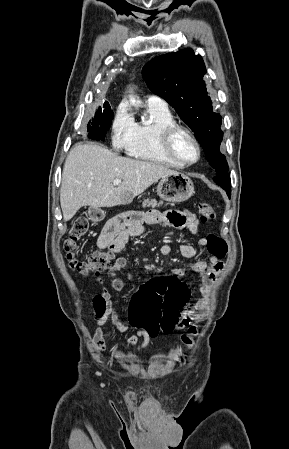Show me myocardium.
I'll list each match as a JSON object with an SVG mask.
<instances>
[{"label":"myocardium","instance_id":"myocardium-1","mask_svg":"<svg viewBox=\"0 0 289 449\" xmlns=\"http://www.w3.org/2000/svg\"><path fill=\"white\" fill-rule=\"evenodd\" d=\"M181 134L188 137L197 149V157L192 162H186V161L182 160L181 158L178 157V155L175 152V148H174L175 139L177 138V136H179ZM161 144H162V148H163L165 154L172 161L176 162L177 164H179L183 167L192 166V165L196 164L201 159L202 148H201V145H200L198 139L195 137V135L189 129H187L183 126L173 125V126L166 127L161 133Z\"/></svg>","mask_w":289,"mask_h":449}]
</instances>
